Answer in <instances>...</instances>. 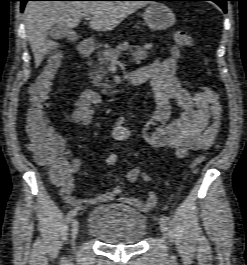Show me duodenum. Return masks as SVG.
I'll return each instance as SVG.
<instances>
[{"mask_svg": "<svg viewBox=\"0 0 247 265\" xmlns=\"http://www.w3.org/2000/svg\"><path fill=\"white\" fill-rule=\"evenodd\" d=\"M95 50L94 42L90 39L83 40L78 48V53L82 61H86ZM128 79L133 85H140L144 83L143 80L136 79L133 72L128 74Z\"/></svg>", "mask_w": 247, "mask_h": 265, "instance_id": "obj_1", "label": "duodenum"}]
</instances>
